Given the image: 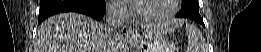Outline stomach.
Masks as SVG:
<instances>
[{
	"instance_id": "0dacf381",
	"label": "stomach",
	"mask_w": 261,
	"mask_h": 52,
	"mask_svg": "<svg viewBox=\"0 0 261 52\" xmlns=\"http://www.w3.org/2000/svg\"><path fill=\"white\" fill-rule=\"evenodd\" d=\"M137 52H171L165 38L151 28H146L142 34H136L130 39Z\"/></svg>"
}]
</instances>
